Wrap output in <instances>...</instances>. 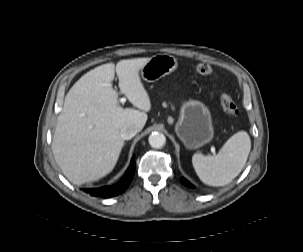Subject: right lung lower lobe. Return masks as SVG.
<instances>
[{"label": "right lung lower lobe", "instance_id": "right-lung-lower-lobe-1", "mask_svg": "<svg viewBox=\"0 0 303 252\" xmlns=\"http://www.w3.org/2000/svg\"><path fill=\"white\" fill-rule=\"evenodd\" d=\"M134 158L135 156L132 157L131 164L119 183L111 186H104L101 188L86 189L85 191L92 196L103 197V198L113 197L121 194L123 191L126 190V188L130 184L134 176V172H135Z\"/></svg>", "mask_w": 303, "mask_h": 252}]
</instances>
